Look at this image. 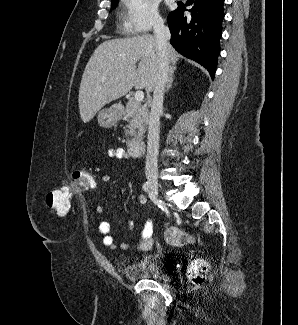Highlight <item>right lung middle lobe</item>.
Instances as JSON below:
<instances>
[{
	"mask_svg": "<svg viewBox=\"0 0 298 325\" xmlns=\"http://www.w3.org/2000/svg\"><path fill=\"white\" fill-rule=\"evenodd\" d=\"M117 4H118V1L117 2H113L112 3V9L115 8L117 6Z\"/></svg>",
	"mask_w": 298,
	"mask_h": 325,
	"instance_id": "1",
	"label": "right lung middle lobe"
}]
</instances>
